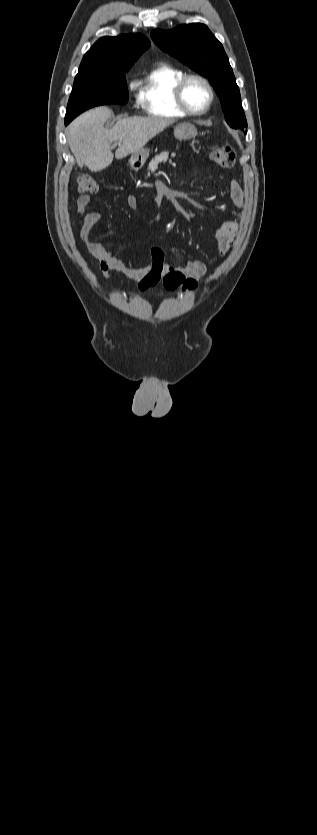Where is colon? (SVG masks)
I'll return each instance as SVG.
<instances>
[{"label": "colon", "mask_w": 317, "mask_h": 835, "mask_svg": "<svg viewBox=\"0 0 317 835\" xmlns=\"http://www.w3.org/2000/svg\"><path fill=\"white\" fill-rule=\"evenodd\" d=\"M235 150L230 144L218 146L212 153V158L220 167L229 168L235 163ZM77 189L83 194H93L99 189L97 181L90 175H81L77 180ZM163 286L167 290H182L187 293L197 291L198 282L186 277L178 268L168 267L162 275Z\"/></svg>", "instance_id": "colon-1"}]
</instances>
